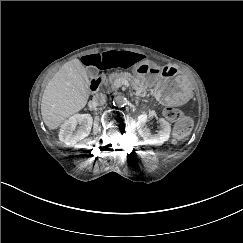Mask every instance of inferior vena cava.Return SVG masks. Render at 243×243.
I'll use <instances>...</instances> for the list:
<instances>
[{"mask_svg": "<svg viewBox=\"0 0 243 243\" xmlns=\"http://www.w3.org/2000/svg\"><path fill=\"white\" fill-rule=\"evenodd\" d=\"M106 95L103 93H97L93 96V102L97 105H104L106 103Z\"/></svg>", "mask_w": 243, "mask_h": 243, "instance_id": "1", "label": "inferior vena cava"}]
</instances>
